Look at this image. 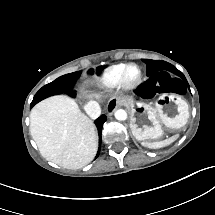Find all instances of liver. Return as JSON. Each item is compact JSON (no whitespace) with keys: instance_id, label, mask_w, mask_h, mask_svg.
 Returning <instances> with one entry per match:
<instances>
[{"instance_id":"obj_1","label":"liver","mask_w":215,"mask_h":215,"mask_svg":"<svg viewBox=\"0 0 215 215\" xmlns=\"http://www.w3.org/2000/svg\"><path fill=\"white\" fill-rule=\"evenodd\" d=\"M30 133L44 158L67 169L86 166L97 153L93 121L67 96H52L35 105L30 113Z\"/></svg>"}]
</instances>
